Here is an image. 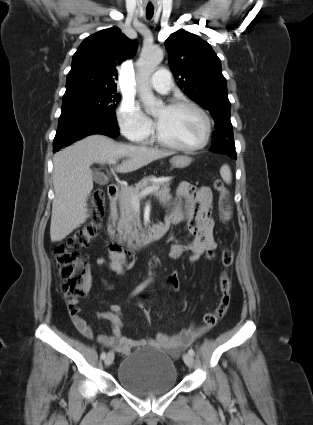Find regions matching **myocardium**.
<instances>
[{
	"label": "myocardium",
	"mask_w": 313,
	"mask_h": 425,
	"mask_svg": "<svg viewBox=\"0 0 313 425\" xmlns=\"http://www.w3.org/2000/svg\"><path fill=\"white\" fill-rule=\"evenodd\" d=\"M168 109H181V108H188V109H192L195 112H197L203 119L204 121V135L203 138L201 140L200 143H198L195 146H191V147H185V146H180V145H176L173 144L169 141H166L164 138H162V136L159 134L157 128L154 131L153 137L154 140L161 146L171 149V150H175V151H179V152H183V153H194L197 152L199 150H202L203 148L206 147V145L209 143L210 138H211V134H212V122L211 119L208 115V113L198 104L191 102V101H175L170 103L169 105H167Z\"/></svg>",
	"instance_id": "1"
}]
</instances>
